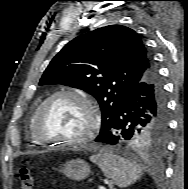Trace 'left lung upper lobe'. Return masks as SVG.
Listing matches in <instances>:
<instances>
[{"label":"left lung upper lobe","instance_id":"1","mask_svg":"<svg viewBox=\"0 0 188 189\" xmlns=\"http://www.w3.org/2000/svg\"><path fill=\"white\" fill-rule=\"evenodd\" d=\"M140 36L122 25H109L80 35L52 59L40 85L63 84L93 95L101 108L99 136L107 132L132 87L154 67ZM166 129H146L129 145L160 151Z\"/></svg>","mask_w":188,"mask_h":189}]
</instances>
